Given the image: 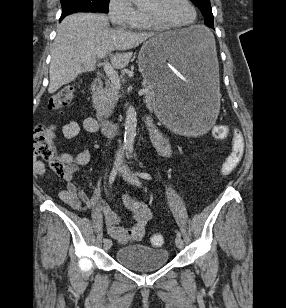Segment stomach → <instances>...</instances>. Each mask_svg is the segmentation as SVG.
<instances>
[{
  "instance_id": "0dacf381",
  "label": "stomach",
  "mask_w": 286,
  "mask_h": 308,
  "mask_svg": "<svg viewBox=\"0 0 286 308\" xmlns=\"http://www.w3.org/2000/svg\"><path fill=\"white\" fill-rule=\"evenodd\" d=\"M216 55L213 35L200 25L144 43L139 69L153 89L150 101L165 125H177V132H202V125H214V107H219Z\"/></svg>"
}]
</instances>
